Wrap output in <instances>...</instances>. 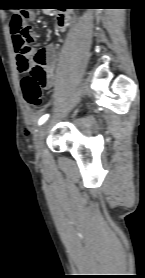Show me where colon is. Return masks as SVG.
Instances as JSON below:
<instances>
[{
  "label": "colon",
  "mask_w": 145,
  "mask_h": 278,
  "mask_svg": "<svg viewBox=\"0 0 145 278\" xmlns=\"http://www.w3.org/2000/svg\"><path fill=\"white\" fill-rule=\"evenodd\" d=\"M26 9L14 14L10 24V32L17 52L32 58L31 49L27 45L28 30L25 24L26 19L30 17V12ZM34 59L35 65L23 76L21 88L26 102L30 106L37 107L42 103V87L46 81V71L45 62L41 55L35 56Z\"/></svg>",
  "instance_id": "colon-1"
}]
</instances>
